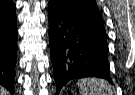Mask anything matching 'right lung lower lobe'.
<instances>
[{"instance_id": "right-lung-lower-lobe-1", "label": "right lung lower lobe", "mask_w": 135, "mask_h": 95, "mask_svg": "<svg viewBox=\"0 0 135 95\" xmlns=\"http://www.w3.org/2000/svg\"><path fill=\"white\" fill-rule=\"evenodd\" d=\"M16 15L0 17V84L13 91L17 55Z\"/></svg>"}]
</instances>
